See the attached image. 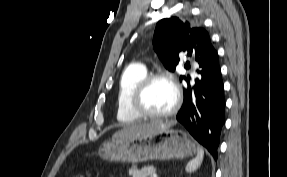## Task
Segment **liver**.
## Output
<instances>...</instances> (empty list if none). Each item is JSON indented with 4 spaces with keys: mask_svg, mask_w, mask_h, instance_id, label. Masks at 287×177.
I'll return each mask as SVG.
<instances>
[{
    "mask_svg": "<svg viewBox=\"0 0 287 177\" xmlns=\"http://www.w3.org/2000/svg\"><path fill=\"white\" fill-rule=\"evenodd\" d=\"M175 124L174 121L162 122V121H151L148 123H138L124 127L117 131L113 138H130L138 136H147L157 133L166 128H170Z\"/></svg>",
    "mask_w": 287,
    "mask_h": 177,
    "instance_id": "liver-1",
    "label": "liver"
}]
</instances>
